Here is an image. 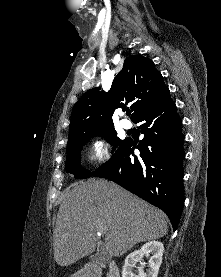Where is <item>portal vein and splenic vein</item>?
Wrapping results in <instances>:
<instances>
[{
	"label": "portal vein and splenic vein",
	"mask_w": 221,
	"mask_h": 277,
	"mask_svg": "<svg viewBox=\"0 0 221 277\" xmlns=\"http://www.w3.org/2000/svg\"><path fill=\"white\" fill-rule=\"evenodd\" d=\"M97 231L99 234H103L105 232V228L103 226H99Z\"/></svg>",
	"instance_id": "portal-vein-and-splenic-vein-1"
}]
</instances>
